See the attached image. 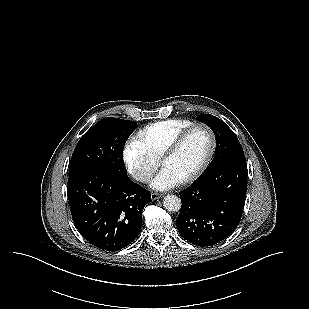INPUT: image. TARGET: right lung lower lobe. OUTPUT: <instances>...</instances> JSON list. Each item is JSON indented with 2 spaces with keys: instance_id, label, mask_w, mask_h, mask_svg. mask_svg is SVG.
Masks as SVG:
<instances>
[{
  "instance_id": "98d812e1",
  "label": "right lung lower lobe",
  "mask_w": 309,
  "mask_h": 309,
  "mask_svg": "<svg viewBox=\"0 0 309 309\" xmlns=\"http://www.w3.org/2000/svg\"><path fill=\"white\" fill-rule=\"evenodd\" d=\"M74 225L92 245L117 251L131 244L142 226V211L150 192L129 178L87 170L68 179Z\"/></svg>"
}]
</instances>
